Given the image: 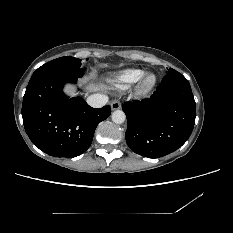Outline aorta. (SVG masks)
<instances>
[{"label": "aorta", "mask_w": 233, "mask_h": 233, "mask_svg": "<svg viewBox=\"0 0 233 233\" xmlns=\"http://www.w3.org/2000/svg\"><path fill=\"white\" fill-rule=\"evenodd\" d=\"M126 119V115L122 110H116L112 113V121L116 124H122Z\"/></svg>", "instance_id": "762f6f07"}]
</instances>
